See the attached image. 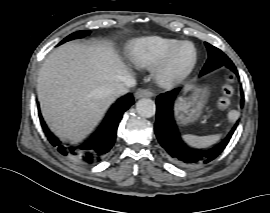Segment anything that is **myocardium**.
Wrapping results in <instances>:
<instances>
[{
    "instance_id": "obj_1",
    "label": "myocardium",
    "mask_w": 270,
    "mask_h": 213,
    "mask_svg": "<svg viewBox=\"0 0 270 213\" xmlns=\"http://www.w3.org/2000/svg\"><path fill=\"white\" fill-rule=\"evenodd\" d=\"M184 44L191 46L193 56L190 62L183 67H176L174 64V57L178 48ZM198 59V52L195 45L190 41H178L175 43L165 56L156 64L154 73L155 78L159 84L164 87H174L184 82L192 73L196 66Z\"/></svg>"
}]
</instances>
